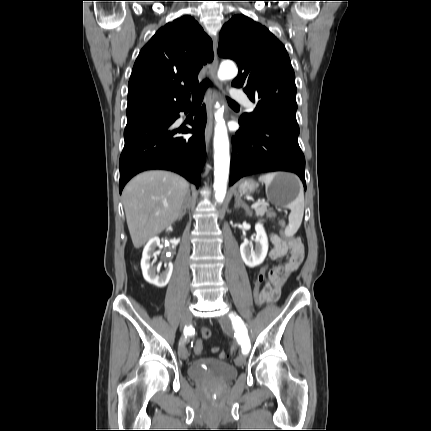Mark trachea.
I'll use <instances>...</instances> for the list:
<instances>
[{
	"instance_id": "obj_1",
	"label": "trachea",
	"mask_w": 431,
	"mask_h": 431,
	"mask_svg": "<svg viewBox=\"0 0 431 431\" xmlns=\"http://www.w3.org/2000/svg\"><path fill=\"white\" fill-rule=\"evenodd\" d=\"M211 85H212V83L209 79H207V78L204 79L202 81V83L199 85V87L192 94V104H194V105L201 104L206 89ZM227 101L231 105H237V103L235 101H233L232 99H230L228 97H227Z\"/></svg>"
}]
</instances>
